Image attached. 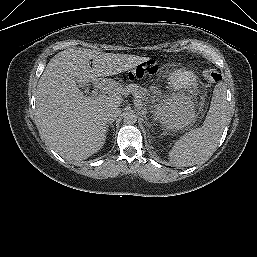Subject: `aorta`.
<instances>
[{"label": "aorta", "mask_w": 257, "mask_h": 257, "mask_svg": "<svg viewBox=\"0 0 257 257\" xmlns=\"http://www.w3.org/2000/svg\"><path fill=\"white\" fill-rule=\"evenodd\" d=\"M123 120L126 124H134L137 121V115L135 114L134 110L128 109L123 113Z\"/></svg>", "instance_id": "1"}]
</instances>
